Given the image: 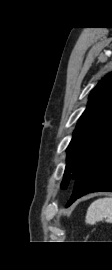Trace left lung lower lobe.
I'll list each match as a JSON object with an SVG mask.
<instances>
[{
	"mask_svg": "<svg viewBox=\"0 0 112 270\" xmlns=\"http://www.w3.org/2000/svg\"><path fill=\"white\" fill-rule=\"evenodd\" d=\"M97 191L112 192V149L76 179L67 207L81 196Z\"/></svg>",
	"mask_w": 112,
	"mask_h": 270,
	"instance_id": "1",
	"label": "left lung lower lobe"
}]
</instances>
